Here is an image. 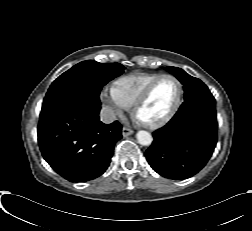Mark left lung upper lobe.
<instances>
[{"instance_id": "obj_1", "label": "left lung upper lobe", "mask_w": 252, "mask_h": 231, "mask_svg": "<svg viewBox=\"0 0 252 231\" xmlns=\"http://www.w3.org/2000/svg\"><path fill=\"white\" fill-rule=\"evenodd\" d=\"M167 69L184 85L185 100L196 96L212 95L208 87L198 78L190 76L184 70L177 67L170 66Z\"/></svg>"}]
</instances>
